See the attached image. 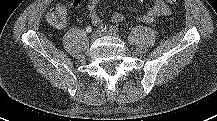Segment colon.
I'll return each mask as SVG.
<instances>
[{
    "mask_svg": "<svg viewBox=\"0 0 217 121\" xmlns=\"http://www.w3.org/2000/svg\"><path fill=\"white\" fill-rule=\"evenodd\" d=\"M170 4H177L179 0H165ZM47 21L49 24L56 28H62L66 25L67 22V9L63 5L54 6L47 13Z\"/></svg>",
    "mask_w": 217,
    "mask_h": 121,
    "instance_id": "5ec220e1",
    "label": "colon"
}]
</instances>
